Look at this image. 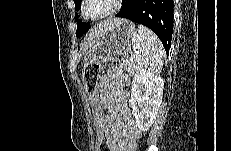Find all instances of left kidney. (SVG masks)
<instances>
[{"label":"left kidney","mask_w":231,"mask_h":151,"mask_svg":"<svg viewBox=\"0 0 231 151\" xmlns=\"http://www.w3.org/2000/svg\"><path fill=\"white\" fill-rule=\"evenodd\" d=\"M164 82L158 76L139 68L133 78L131 106L137 126L147 131L158 114L163 95Z\"/></svg>","instance_id":"1"}]
</instances>
